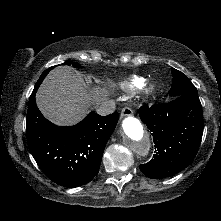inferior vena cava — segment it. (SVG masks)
<instances>
[{
	"mask_svg": "<svg viewBox=\"0 0 221 221\" xmlns=\"http://www.w3.org/2000/svg\"><path fill=\"white\" fill-rule=\"evenodd\" d=\"M116 105L113 100L103 102L96 110L99 115L105 116L115 111Z\"/></svg>",
	"mask_w": 221,
	"mask_h": 221,
	"instance_id": "obj_1",
	"label": "inferior vena cava"
}]
</instances>
